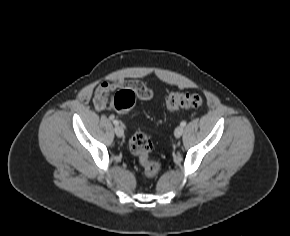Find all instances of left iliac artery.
I'll use <instances>...</instances> for the list:
<instances>
[{
  "label": "left iliac artery",
  "instance_id": "left-iliac-artery-1",
  "mask_svg": "<svg viewBox=\"0 0 290 236\" xmlns=\"http://www.w3.org/2000/svg\"><path fill=\"white\" fill-rule=\"evenodd\" d=\"M180 125H181L182 127H184V126L186 125V122H185V121H182V122L180 123Z\"/></svg>",
  "mask_w": 290,
  "mask_h": 236
}]
</instances>
